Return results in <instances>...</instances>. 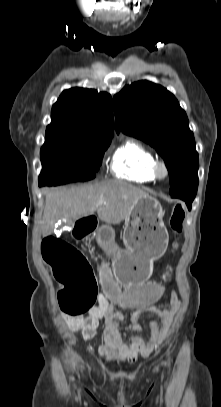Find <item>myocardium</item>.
I'll use <instances>...</instances> for the list:
<instances>
[{
  "mask_svg": "<svg viewBox=\"0 0 221 407\" xmlns=\"http://www.w3.org/2000/svg\"><path fill=\"white\" fill-rule=\"evenodd\" d=\"M154 176L158 180H164L169 176V168L166 162L157 160L153 166Z\"/></svg>",
  "mask_w": 221,
  "mask_h": 407,
  "instance_id": "myocardium-1",
  "label": "myocardium"
}]
</instances>
